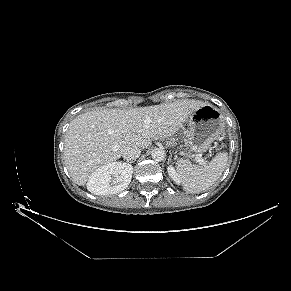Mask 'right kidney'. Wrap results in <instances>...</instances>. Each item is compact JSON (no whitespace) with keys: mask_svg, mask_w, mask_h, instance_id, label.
Here are the masks:
<instances>
[{"mask_svg":"<svg viewBox=\"0 0 291 291\" xmlns=\"http://www.w3.org/2000/svg\"><path fill=\"white\" fill-rule=\"evenodd\" d=\"M133 167L122 162H112L95 170L88 182L87 189L95 195L116 194L129 185Z\"/></svg>","mask_w":291,"mask_h":291,"instance_id":"right-kidney-1","label":"right kidney"}]
</instances>
